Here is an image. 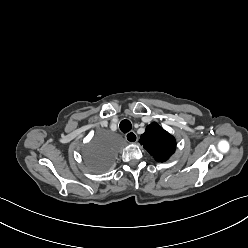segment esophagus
Returning a JSON list of instances; mask_svg holds the SVG:
<instances>
[{
	"mask_svg": "<svg viewBox=\"0 0 248 248\" xmlns=\"http://www.w3.org/2000/svg\"><path fill=\"white\" fill-rule=\"evenodd\" d=\"M125 139L129 142V143H136L137 141V135L134 131H130L125 135Z\"/></svg>",
	"mask_w": 248,
	"mask_h": 248,
	"instance_id": "obj_1",
	"label": "esophagus"
}]
</instances>
